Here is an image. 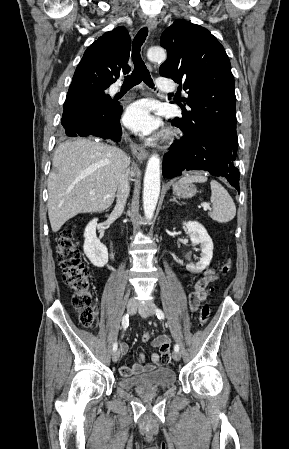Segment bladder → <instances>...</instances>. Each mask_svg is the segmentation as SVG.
Listing matches in <instances>:
<instances>
[{
	"instance_id": "bladder-1",
	"label": "bladder",
	"mask_w": 289,
	"mask_h": 449,
	"mask_svg": "<svg viewBox=\"0 0 289 449\" xmlns=\"http://www.w3.org/2000/svg\"><path fill=\"white\" fill-rule=\"evenodd\" d=\"M176 382V374L170 368H160L149 373L119 378L117 385L125 390L164 389Z\"/></svg>"
}]
</instances>
